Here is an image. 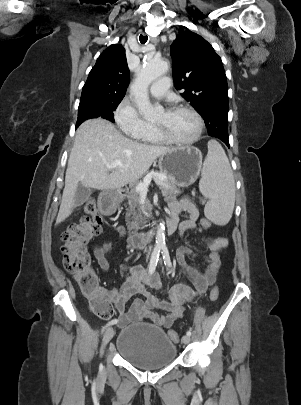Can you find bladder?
<instances>
[{
    "mask_svg": "<svg viewBox=\"0 0 301 405\" xmlns=\"http://www.w3.org/2000/svg\"><path fill=\"white\" fill-rule=\"evenodd\" d=\"M117 353L144 370H156L171 364L177 347L161 328L139 322L123 328L116 341Z\"/></svg>",
    "mask_w": 301,
    "mask_h": 405,
    "instance_id": "31cf9c89",
    "label": "bladder"
}]
</instances>
